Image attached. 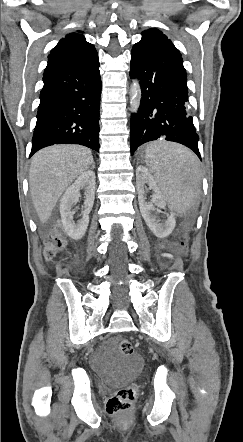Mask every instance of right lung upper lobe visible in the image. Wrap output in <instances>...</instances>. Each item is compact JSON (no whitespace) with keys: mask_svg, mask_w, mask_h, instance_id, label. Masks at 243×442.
<instances>
[{"mask_svg":"<svg viewBox=\"0 0 243 442\" xmlns=\"http://www.w3.org/2000/svg\"><path fill=\"white\" fill-rule=\"evenodd\" d=\"M96 52L94 45L87 42L81 33H70L51 50L46 69L81 60Z\"/></svg>","mask_w":243,"mask_h":442,"instance_id":"right-lung-upper-lobe-1","label":"right lung upper lobe"}]
</instances>
